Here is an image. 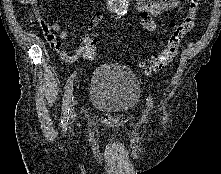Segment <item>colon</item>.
I'll list each match as a JSON object with an SVG mask.
<instances>
[{
	"label": "colon",
	"mask_w": 221,
	"mask_h": 174,
	"mask_svg": "<svg viewBox=\"0 0 221 174\" xmlns=\"http://www.w3.org/2000/svg\"><path fill=\"white\" fill-rule=\"evenodd\" d=\"M24 5H33L37 0H19ZM200 0H188L187 14L182 20L172 24V30L169 35L166 46L150 59L143 62V66L147 72H157L170 63L177 55L180 44L184 37L190 33L196 21L197 12L199 10ZM29 19V17H28ZM82 57L91 60L96 56L97 48L95 42L90 38H85L80 46Z\"/></svg>",
	"instance_id": "5ec220e1"
}]
</instances>
